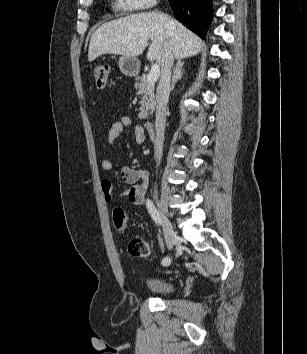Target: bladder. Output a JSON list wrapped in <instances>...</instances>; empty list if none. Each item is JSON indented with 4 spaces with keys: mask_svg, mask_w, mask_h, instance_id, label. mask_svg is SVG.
I'll use <instances>...</instances> for the list:
<instances>
[{
    "mask_svg": "<svg viewBox=\"0 0 307 354\" xmlns=\"http://www.w3.org/2000/svg\"><path fill=\"white\" fill-rule=\"evenodd\" d=\"M148 290L157 295L166 296L174 292L175 283L165 277L149 278L146 282Z\"/></svg>",
    "mask_w": 307,
    "mask_h": 354,
    "instance_id": "31cf9c89",
    "label": "bladder"
}]
</instances>
